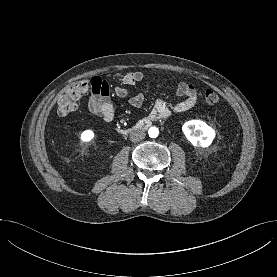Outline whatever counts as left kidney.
<instances>
[{"label": "left kidney", "mask_w": 277, "mask_h": 277, "mask_svg": "<svg viewBox=\"0 0 277 277\" xmlns=\"http://www.w3.org/2000/svg\"><path fill=\"white\" fill-rule=\"evenodd\" d=\"M182 131L187 140L195 147H208L215 138V130L201 120L185 122Z\"/></svg>", "instance_id": "left-kidney-1"}]
</instances>
